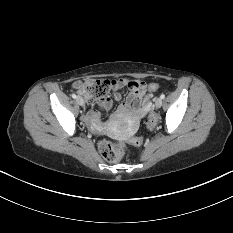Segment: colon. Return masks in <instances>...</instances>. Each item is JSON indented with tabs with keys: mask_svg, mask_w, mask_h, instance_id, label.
<instances>
[{
	"mask_svg": "<svg viewBox=\"0 0 233 233\" xmlns=\"http://www.w3.org/2000/svg\"><path fill=\"white\" fill-rule=\"evenodd\" d=\"M76 89L83 94L88 100H103L108 97L111 89V82L107 79H89L75 84ZM160 88L158 83L148 85V94L145 96L142 106L145 113L148 114L147 128L153 129L156 126L157 119L152 113L151 100L153 93ZM143 143L141 137H135L131 140V144L139 146ZM101 156L109 161L116 162L124 158L128 153L125 144H116L107 140H103L98 145Z\"/></svg>",
	"mask_w": 233,
	"mask_h": 233,
	"instance_id": "5ec220e1",
	"label": "colon"
}]
</instances>
